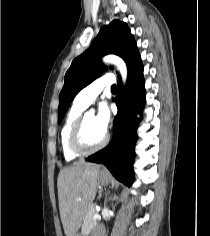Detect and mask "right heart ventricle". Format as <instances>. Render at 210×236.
<instances>
[{
	"label": "right heart ventricle",
	"mask_w": 210,
	"mask_h": 236,
	"mask_svg": "<svg viewBox=\"0 0 210 236\" xmlns=\"http://www.w3.org/2000/svg\"><path fill=\"white\" fill-rule=\"evenodd\" d=\"M84 107L74 101L67 117L62 125L60 133V143L63 156L66 160L71 161L80 155L73 153L69 148V134L75 120L83 113Z\"/></svg>",
	"instance_id": "e07e8e85"
}]
</instances>
